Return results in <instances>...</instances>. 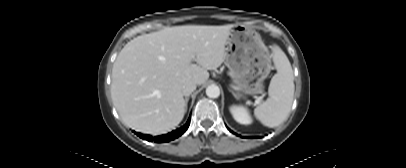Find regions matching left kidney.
Listing matches in <instances>:
<instances>
[{
  "label": "left kidney",
  "instance_id": "left-kidney-1",
  "mask_svg": "<svg viewBox=\"0 0 406 168\" xmlns=\"http://www.w3.org/2000/svg\"><path fill=\"white\" fill-rule=\"evenodd\" d=\"M230 112L238 123L244 125L252 123V118L245 107L233 105L230 107Z\"/></svg>",
  "mask_w": 406,
  "mask_h": 168
}]
</instances>
